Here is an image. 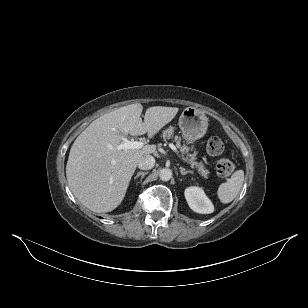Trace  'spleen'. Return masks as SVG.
I'll return each mask as SVG.
<instances>
[{
    "mask_svg": "<svg viewBox=\"0 0 308 308\" xmlns=\"http://www.w3.org/2000/svg\"><path fill=\"white\" fill-rule=\"evenodd\" d=\"M244 181V171H235L230 179L222 183L217 191L218 198L224 204L230 203L240 192Z\"/></svg>",
    "mask_w": 308,
    "mask_h": 308,
    "instance_id": "3e777b00",
    "label": "spleen"
}]
</instances>
